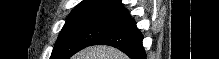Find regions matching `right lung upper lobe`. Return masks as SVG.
I'll return each instance as SVG.
<instances>
[{"label":"right lung upper lobe","mask_w":219,"mask_h":59,"mask_svg":"<svg viewBox=\"0 0 219 59\" xmlns=\"http://www.w3.org/2000/svg\"><path fill=\"white\" fill-rule=\"evenodd\" d=\"M121 5L120 0H83L70 15L83 12L113 11Z\"/></svg>","instance_id":"obj_1"}]
</instances>
